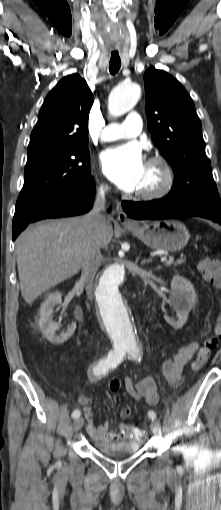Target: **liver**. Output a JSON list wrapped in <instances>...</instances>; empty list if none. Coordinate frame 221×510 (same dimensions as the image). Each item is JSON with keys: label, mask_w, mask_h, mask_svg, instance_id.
<instances>
[{"label": "liver", "mask_w": 221, "mask_h": 510, "mask_svg": "<svg viewBox=\"0 0 221 510\" xmlns=\"http://www.w3.org/2000/svg\"><path fill=\"white\" fill-rule=\"evenodd\" d=\"M85 236V217H73L32 225L17 238L20 289L26 303L32 304L43 292L80 271ZM112 237L113 227L108 224L99 237L100 247L106 248Z\"/></svg>", "instance_id": "liver-1"}]
</instances>
